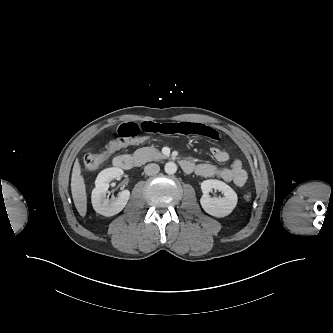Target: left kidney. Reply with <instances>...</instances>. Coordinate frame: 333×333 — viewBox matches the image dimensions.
<instances>
[{
    "label": "left kidney",
    "instance_id": "obj_1",
    "mask_svg": "<svg viewBox=\"0 0 333 333\" xmlns=\"http://www.w3.org/2000/svg\"><path fill=\"white\" fill-rule=\"evenodd\" d=\"M216 189L223 193V197H210L209 192ZM203 195L200 204L204 211L214 217L221 218L229 215L237 205L236 192L220 180H205L201 183Z\"/></svg>",
    "mask_w": 333,
    "mask_h": 333
}]
</instances>
